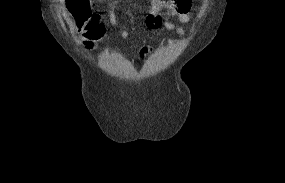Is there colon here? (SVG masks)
Masks as SVG:
<instances>
[{"label":"colon","instance_id":"obj_1","mask_svg":"<svg viewBox=\"0 0 285 183\" xmlns=\"http://www.w3.org/2000/svg\"><path fill=\"white\" fill-rule=\"evenodd\" d=\"M180 1L187 2V0H175L177 3ZM67 5L79 32L83 35L84 45L92 48L104 36V26L99 16L91 11L89 0H67ZM177 9L183 12L190 11V7L180 4H177Z\"/></svg>","mask_w":285,"mask_h":183}]
</instances>
